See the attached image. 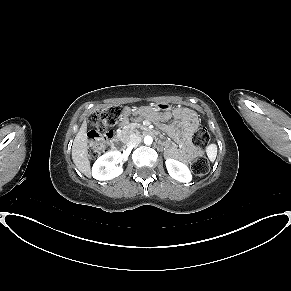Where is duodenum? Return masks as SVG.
<instances>
[{"instance_id": "duodenum-1", "label": "duodenum", "mask_w": 291, "mask_h": 291, "mask_svg": "<svg viewBox=\"0 0 291 291\" xmlns=\"http://www.w3.org/2000/svg\"><path fill=\"white\" fill-rule=\"evenodd\" d=\"M134 130H141L143 133L149 135L151 138H155L160 145H166L168 143V140L161 134H157L155 131H152L150 128H147L146 126H143L141 123H132L131 125H128L125 129L121 128L117 131V135L111 142V147L113 149L123 147V142L120 141L123 140L124 134L126 132L131 133Z\"/></svg>"}]
</instances>
